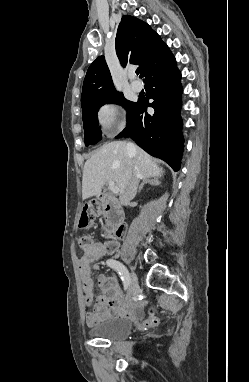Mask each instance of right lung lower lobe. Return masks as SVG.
<instances>
[{
	"instance_id": "1",
	"label": "right lung lower lobe",
	"mask_w": 249,
	"mask_h": 382,
	"mask_svg": "<svg viewBox=\"0 0 249 382\" xmlns=\"http://www.w3.org/2000/svg\"><path fill=\"white\" fill-rule=\"evenodd\" d=\"M180 78L171 53L152 65L145 74L150 96L138 99L126 128L116 136H131L138 146L150 155L165 160L174 171L180 168L184 143L179 116ZM149 98L154 101L149 103ZM147 107L154 108V113L149 114Z\"/></svg>"
}]
</instances>
